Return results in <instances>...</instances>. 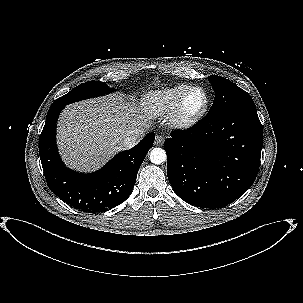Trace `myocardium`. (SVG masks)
I'll return each instance as SVG.
<instances>
[{
    "label": "myocardium",
    "instance_id": "f54148a6",
    "mask_svg": "<svg viewBox=\"0 0 303 303\" xmlns=\"http://www.w3.org/2000/svg\"><path fill=\"white\" fill-rule=\"evenodd\" d=\"M200 91L203 94V105L195 112H189L186 109V103L190 94L194 91ZM209 106V97L206 90L200 86H191L181 97L175 108L170 114V123L177 129H188L194 126L207 112Z\"/></svg>",
    "mask_w": 303,
    "mask_h": 303
}]
</instances>
